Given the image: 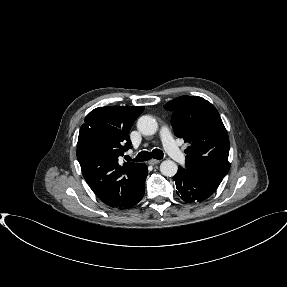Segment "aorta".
I'll list each match as a JSON object with an SVG mask.
<instances>
[{
  "label": "aorta",
  "instance_id": "aorta-1",
  "mask_svg": "<svg viewBox=\"0 0 287 287\" xmlns=\"http://www.w3.org/2000/svg\"><path fill=\"white\" fill-rule=\"evenodd\" d=\"M137 128L143 135H153L158 129L157 121L150 115H143L137 121ZM178 170L177 164L172 160H165L160 164V172L167 177H173Z\"/></svg>",
  "mask_w": 287,
  "mask_h": 287
}]
</instances>
